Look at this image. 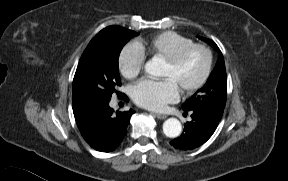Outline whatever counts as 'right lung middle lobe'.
Here are the masks:
<instances>
[{
	"label": "right lung middle lobe",
	"instance_id": "right-lung-middle-lobe-1",
	"mask_svg": "<svg viewBox=\"0 0 288 181\" xmlns=\"http://www.w3.org/2000/svg\"><path fill=\"white\" fill-rule=\"evenodd\" d=\"M138 33L120 26L101 30L83 52L73 79L72 93L96 105H105L121 80L118 69L123 46Z\"/></svg>",
	"mask_w": 288,
	"mask_h": 181
}]
</instances>
